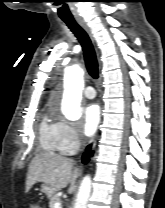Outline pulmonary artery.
<instances>
[{
  "mask_svg": "<svg viewBox=\"0 0 165 208\" xmlns=\"http://www.w3.org/2000/svg\"><path fill=\"white\" fill-rule=\"evenodd\" d=\"M83 95L88 99H93L96 96V92L92 86L85 87Z\"/></svg>",
  "mask_w": 165,
  "mask_h": 208,
  "instance_id": "pulmonary-artery-1",
  "label": "pulmonary artery"
}]
</instances>
